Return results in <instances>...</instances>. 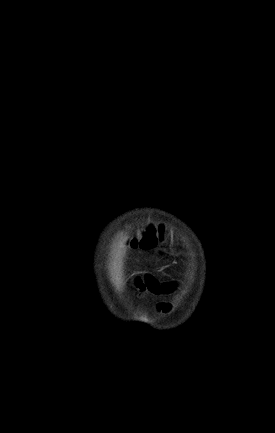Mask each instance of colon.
<instances>
[{"label":"colon","instance_id":"5ec220e1","mask_svg":"<svg viewBox=\"0 0 275 433\" xmlns=\"http://www.w3.org/2000/svg\"><path fill=\"white\" fill-rule=\"evenodd\" d=\"M158 231L150 230L147 236L140 242L143 247H151L156 244L158 240Z\"/></svg>","mask_w":275,"mask_h":433}]
</instances>
